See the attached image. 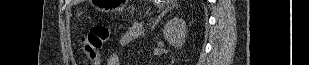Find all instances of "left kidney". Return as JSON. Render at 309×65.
<instances>
[{
	"instance_id": "obj_1",
	"label": "left kidney",
	"mask_w": 309,
	"mask_h": 65,
	"mask_svg": "<svg viewBox=\"0 0 309 65\" xmlns=\"http://www.w3.org/2000/svg\"><path fill=\"white\" fill-rule=\"evenodd\" d=\"M163 35L170 45L181 47L187 37L186 22L182 18L171 19L165 24Z\"/></svg>"
}]
</instances>
